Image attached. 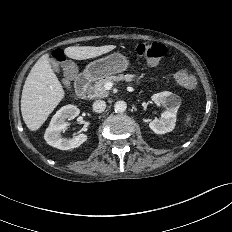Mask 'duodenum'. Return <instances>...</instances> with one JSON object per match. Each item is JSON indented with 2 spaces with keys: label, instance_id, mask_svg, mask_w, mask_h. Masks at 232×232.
Instances as JSON below:
<instances>
[{
  "label": "duodenum",
  "instance_id": "duodenum-1",
  "mask_svg": "<svg viewBox=\"0 0 232 232\" xmlns=\"http://www.w3.org/2000/svg\"><path fill=\"white\" fill-rule=\"evenodd\" d=\"M90 82L87 74H79L75 79V89L79 96H84Z\"/></svg>",
  "mask_w": 232,
  "mask_h": 232
}]
</instances>
